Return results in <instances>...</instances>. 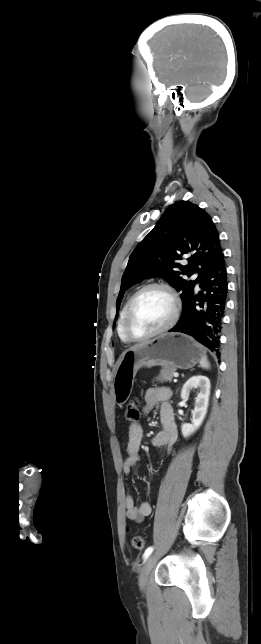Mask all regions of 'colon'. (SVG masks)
Here are the masks:
<instances>
[{"instance_id":"colon-1","label":"colon","mask_w":261,"mask_h":644,"mask_svg":"<svg viewBox=\"0 0 261 644\" xmlns=\"http://www.w3.org/2000/svg\"><path fill=\"white\" fill-rule=\"evenodd\" d=\"M140 409L136 402L131 401L127 404L125 410V419L130 423H136L140 419ZM132 546L136 549H143L145 546V539L142 535L135 534L131 539Z\"/></svg>"}]
</instances>
